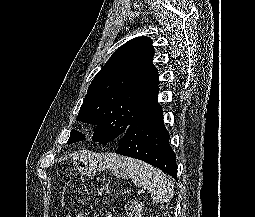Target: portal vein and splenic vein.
<instances>
[{"label": "portal vein and splenic vein", "instance_id": "1", "mask_svg": "<svg viewBox=\"0 0 255 217\" xmlns=\"http://www.w3.org/2000/svg\"><path fill=\"white\" fill-rule=\"evenodd\" d=\"M141 192H142L141 190L138 191V193H141Z\"/></svg>", "mask_w": 255, "mask_h": 217}]
</instances>
